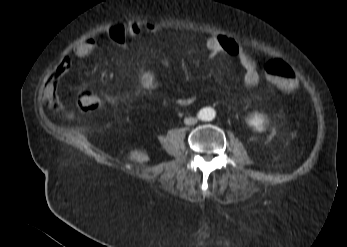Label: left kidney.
Masks as SVG:
<instances>
[{
    "instance_id": "obj_1",
    "label": "left kidney",
    "mask_w": 347,
    "mask_h": 247,
    "mask_svg": "<svg viewBox=\"0 0 347 247\" xmlns=\"http://www.w3.org/2000/svg\"><path fill=\"white\" fill-rule=\"evenodd\" d=\"M265 122H266V118L261 113H255L248 120L249 125L253 126L259 132H262L264 130Z\"/></svg>"
}]
</instances>
